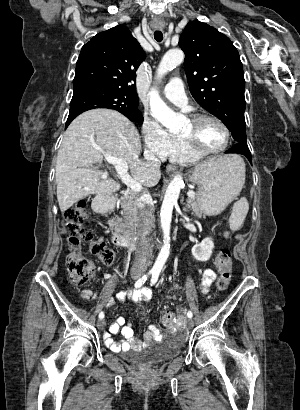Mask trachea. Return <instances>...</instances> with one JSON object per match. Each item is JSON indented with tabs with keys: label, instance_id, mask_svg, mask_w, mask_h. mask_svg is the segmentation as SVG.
I'll return each instance as SVG.
<instances>
[{
	"label": "trachea",
	"instance_id": "trachea-1",
	"mask_svg": "<svg viewBox=\"0 0 300 410\" xmlns=\"http://www.w3.org/2000/svg\"><path fill=\"white\" fill-rule=\"evenodd\" d=\"M154 38L158 41L161 42L163 40V34L161 31H155L154 32Z\"/></svg>",
	"mask_w": 300,
	"mask_h": 410
}]
</instances>
